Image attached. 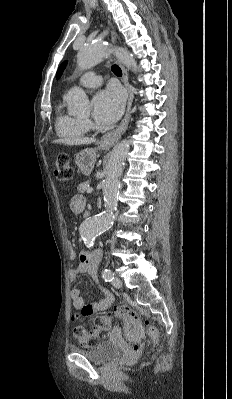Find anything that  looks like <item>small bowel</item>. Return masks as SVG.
Returning a JSON list of instances; mask_svg holds the SVG:
<instances>
[{"mask_svg":"<svg viewBox=\"0 0 232 399\" xmlns=\"http://www.w3.org/2000/svg\"><path fill=\"white\" fill-rule=\"evenodd\" d=\"M84 204V199L81 194H74L70 200V208L73 211L81 210ZM69 257L70 259H78L79 266L76 271H72L69 274V283L75 284L77 281L78 273L86 272L91 280L96 283L98 279L97 266L102 260V253L100 249L90 251L86 248H82L79 251L76 250L74 244L68 242ZM103 298L93 305H87L84 298L80 296L77 290H71L69 292V298L75 308L81 310L82 316H86L94 311L108 309L113 303V295L109 290L105 288L100 289ZM116 327H110L107 329L108 332L116 331Z\"/></svg>","mask_w":232,"mask_h":399,"instance_id":"small-bowel-1","label":"small bowel"}]
</instances>
